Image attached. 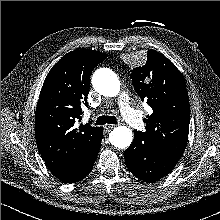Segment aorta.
Listing matches in <instances>:
<instances>
[{
  "mask_svg": "<svg viewBox=\"0 0 220 220\" xmlns=\"http://www.w3.org/2000/svg\"><path fill=\"white\" fill-rule=\"evenodd\" d=\"M94 89L101 95L115 97L120 91V82L117 75L107 68L98 69L92 77ZM133 140V132L126 126H119L110 133V143L120 149L128 148Z\"/></svg>",
  "mask_w": 220,
  "mask_h": 220,
  "instance_id": "762f6f07",
  "label": "aorta"
}]
</instances>
